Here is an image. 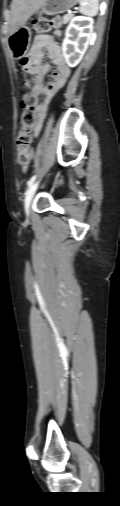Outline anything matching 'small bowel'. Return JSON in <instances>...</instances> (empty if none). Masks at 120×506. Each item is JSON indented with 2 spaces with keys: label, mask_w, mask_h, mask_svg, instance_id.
Listing matches in <instances>:
<instances>
[{
  "label": "small bowel",
  "mask_w": 120,
  "mask_h": 506,
  "mask_svg": "<svg viewBox=\"0 0 120 506\" xmlns=\"http://www.w3.org/2000/svg\"><path fill=\"white\" fill-rule=\"evenodd\" d=\"M45 55L56 65V69L52 73V80L48 85L43 84V80L50 70V66L42 61ZM25 69L34 78L33 93L44 96V101L35 106L37 121L33 127V134L37 136L41 131L48 104L65 85L70 75V68L65 64L61 48L56 41L50 40L46 36H37L28 55Z\"/></svg>",
  "instance_id": "small-bowel-1"
}]
</instances>
